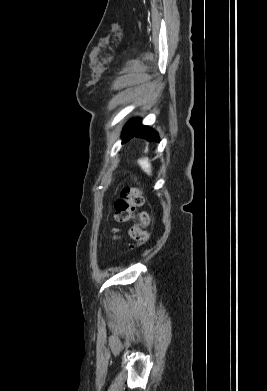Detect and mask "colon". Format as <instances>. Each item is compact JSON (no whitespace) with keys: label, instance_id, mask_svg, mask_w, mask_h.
<instances>
[{"label":"colon","instance_id":"1","mask_svg":"<svg viewBox=\"0 0 267 391\" xmlns=\"http://www.w3.org/2000/svg\"><path fill=\"white\" fill-rule=\"evenodd\" d=\"M143 203V190L136 187L123 188L114 203V218L116 221L127 222L136 219V223L129 228L128 233L137 246L145 244L149 239L147 231L150 221L149 215L145 211H137Z\"/></svg>","mask_w":267,"mask_h":391}]
</instances>
